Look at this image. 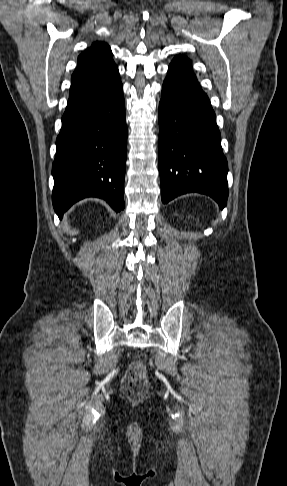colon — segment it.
<instances>
[{
	"label": "colon",
	"mask_w": 287,
	"mask_h": 486,
	"mask_svg": "<svg viewBox=\"0 0 287 486\" xmlns=\"http://www.w3.org/2000/svg\"><path fill=\"white\" fill-rule=\"evenodd\" d=\"M122 387L132 399H140L147 390L146 368L141 361L130 364L124 376Z\"/></svg>",
	"instance_id": "obj_1"
}]
</instances>
